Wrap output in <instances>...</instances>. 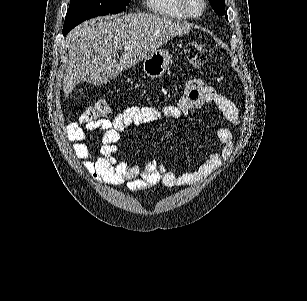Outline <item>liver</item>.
I'll return each instance as SVG.
<instances>
[{
	"label": "liver",
	"instance_id": "obj_1",
	"mask_svg": "<svg viewBox=\"0 0 307 301\" xmlns=\"http://www.w3.org/2000/svg\"><path fill=\"white\" fill-rule=\"evenodd\" d=\"M191 22L174 20L161 14L130 12L119 18H91L75 26L66 36L69 62L63 78L64 96L71 94L78 82L106 84L131 68L167 40L187 34ZM130 46L116 60L118 48Z\"/></svg>",
	"mask_w": 307,
	"mask_h": 301
}]
</instances>
